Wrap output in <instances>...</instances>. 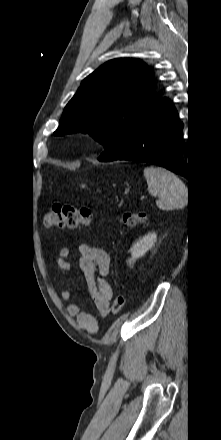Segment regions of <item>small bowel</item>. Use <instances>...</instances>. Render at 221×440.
<instances>
[{
    "instance_id": "small-bowel-1",
    "label": "small bowel",
    "mask_w": 221,
    "mask_h": 440,
    "mask_svg": "<svg viewBox=\"0 0 221 440\" xmlns=\"http://www.w3.org/2000/svg\"><path fill=\"white\" fill-rule=\"evenodd\" d=\"M79 268L84 277L87 295L92 299L97 315L87 311H81L79 306L71 303L67 306V313L76 316L78 325L90 334L97 332L99 319L109 314V304L113 297L112 287L107 281L110 270V257L108 253L100 248L88 244L79 246ZM70 251L67 247H61L57 266L64 271L72 269L69 261ZM61 296L64 300H70L72 292L62 290Z\"/></svg>"
}]
</instances>
